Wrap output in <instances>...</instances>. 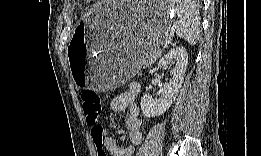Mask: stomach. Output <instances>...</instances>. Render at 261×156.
Listing matches in <instances>:
<instances>
[{
    "mask_svg": "<svg viewBox=\"0 0 261 156\" xmlns=\"http://www.w3.org/2000/svg\"><path fill=\"white\" fill-rule=\"evenodd\" d=\"M170 11L163 2L107 1L91 9L67 51L75 85L105 91L132 78L165 39Z\"/></svg>",
    "mask_w": 261,
    "mask_h": 156,
    "instance_id": "obj_1",
    "label": "stomach"
}]
</instances>
